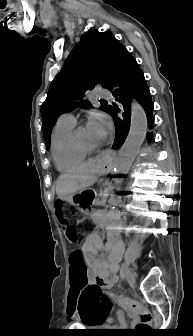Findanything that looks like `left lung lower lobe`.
Listing matches in <instances>:
<instances>
[{
	"instance_id": "0a47b994",
	"label": "left lung lower lobe",
	"mask_w": 193,
	"mask_h": 336,
	"mask_svg": "<svg viewBox=\"0 0 193 336\" xmlns=\"http://www.w3.org/2000/svg\"><path fill=\"white\" fill-rule=\"evenodd\" d=\"M108 90L116 97V101L121 102L124 107L122 116H118L113 107L109 112L116 127V136L112 148L118 150L124 143L130 128L131 98L136 99L142 105L147 116L148 128L151 129L153 125V103L150 90L142 70L126 48L120 54L114 79ZM146 138L150 142L152 140L151 133L148 132Z\"/></svg>"
}]
</instances>
